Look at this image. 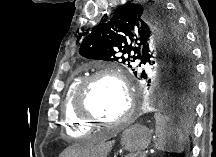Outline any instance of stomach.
<instances>
[{
    "label": "stomach",
    "instance_id": "1",
    "mask_svg": "<svg viewBox=\"0 0 216 157\" xmlns=\"http://www.w3.org/2000/svg\"><path fill=\"white\" fill-rule=\"evenodd\" d=\"M152 131L148 128L135 124L125 129L122 136V143L131 152L145 150L151 141Z\"/></svg>",
    "mask_w": 216,
    "mask_h": 157
}]
</instances>
